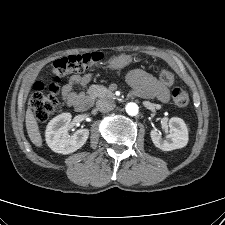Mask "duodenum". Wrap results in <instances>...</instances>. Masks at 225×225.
<instances>
[{
	"mask_svg": "<svg viewBox=\"0 0 225 225\" xmlns=\"http://www.w3.org/2000/svg\"><path fill=\"white\" fill-rule=\"evenodd\" d=\"M92 103L93 99L91 96H83L75 103L74 108L79 113H85L91 108Z\"/></svg>",
	"mask_w": 225,
	"mask_h": 225,
	"instance_id": "410a0bca",
	"label": "duodenum"
}]
</instances>
